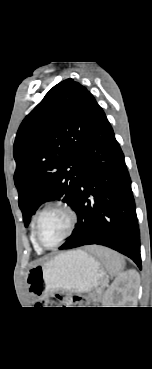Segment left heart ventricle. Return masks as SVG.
<instances>
[{
    "instance_id": "left-heart-ventricle-1",
    "label": "left heart ventricle",
    "mask_w": 152,
    "mask_h": 369,
    "mask_svg": "<svg viewBox=\"0 0 152 369\" xmlns=\"http://www.w3.org/2000/svg\"><path fill=\"white\" fill-rule=\"evenodd\" d=\"M68 228V216L59 209L52 208L47 210L39 221V239L47 246L56 243Z\"/></svg>"
}]
</instances>
